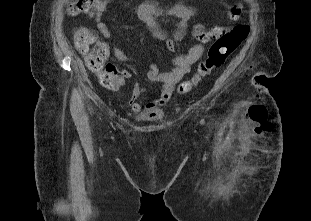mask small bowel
Masks as SVG:
<instances>
[{
    "label": "small bowel",
    "mask_w": 311,
    "mask_h": 221,
    "mask_svg": "<svg viewBox=\"0 0 311 221\" xmlns=\"http://www.w3.org/2000/svg\"><path fill=\"white\" fill-rule=\"evenodd\" d=\"M110 1L96 0L93 8L88 13V18L95 20L99 32L109 40L111 39V32L101 19V16ZM136 12L149 34L156 39L166 41L168 49L171 51L174 50L175 44L183 39L187 29V23L195 14L191 7L182 3L170 8H163L157 3L148 0L140 3L137 6ZM155 17L177 20L176 31L171 35L167 34L157 25ZM112 52L118 61L124 63L132 62V58L117 45L112 46ZM203 52V45L196 44L187 53L176 55L173 59L175 67L170 72H160L157 64H151L147 70V79L153 83H161V88L159 93L150 100L142 98L146 90L135 79L132 71L127 68L118 70L120 84L115 90H118L125 81H132L133 87L129 99V106L132 113L142 120L155 118L159 115L161 107L170 100L175 84L189 72L190 66L201 58Z\"/></svg>",
    "instance_id": "c3829d8e"
}]
</instances>
